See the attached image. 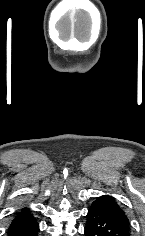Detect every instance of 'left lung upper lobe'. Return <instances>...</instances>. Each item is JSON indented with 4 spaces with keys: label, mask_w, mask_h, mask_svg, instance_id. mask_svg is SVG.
I'll use <instances>...</instances> for the list:
<instances>
[{
    "label": "left lung upper lobe",
    "mask_w": 145,
    "mask_h": 236,
    "mask_svg": "<svg viewBox=\"0 0 145 236\" xmlns=\"http://www.w3.org/2000/svg\"><path fill=\"white\" fill-rule=\"evenodd\" d=\"M91 208L98 209L106 214L111 215L129 228V220L114 197L109 195H103L101 197H98L92 203Z\"/></svg>",
    "instance_id": "left-lung-upper-lobe-1"
}]
</instances>
